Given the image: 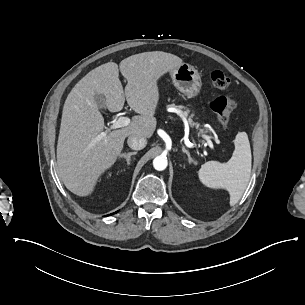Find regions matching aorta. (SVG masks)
I'll use <instances>...</instances> for the list:
<instances>
[{
  "label": "aorta",
  "instance_id": "1",
  "mask_svg": "<svg viewBox=\"0 0 305 305\" xmlns=\"http://www.w3.org/2000/svg\"><path fill=\"white\" fill-rule=\"evenodd\" d=\"M168 165L167 158L165 156H157L153 160V167L158 171H163Z\"/></svg>",
  "mask_w": 305,
  "mask_h": 305
}]
</instances>
